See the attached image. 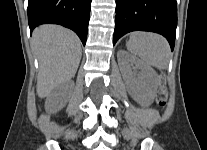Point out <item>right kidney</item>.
Instances as JSON below:
<instances>
[{
	"mask_svg": "<svg viewBox=\"0 0 207 150\" xmlns=\"http://www.w3.org/2000/svg\"><path fill=\"white\" fill-rule=\"evenodd\" d=\"M57 94H58L57 92H53V93L49 94V96L47 97L46 102H45L46 109H51L54 107V104H55L54 102L56 100ZM61 107H62V105H57L56 110H59Z\"/></svg>",
	"mask_w": 207,
	"mask_h": 150,
	"instance_id": "1",
	"label": "right kidney"
}]
</instances>
